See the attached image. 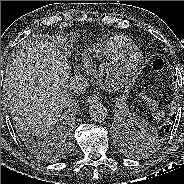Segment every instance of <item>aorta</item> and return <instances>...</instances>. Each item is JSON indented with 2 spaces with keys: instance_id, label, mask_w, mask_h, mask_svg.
Masks as SVG:
<instances>
[{
  "instance_id": "obj_1",
  "label": "aorta",
  "mask_w": 184,
  "mask_h": 184,
  "mask_svg": "<svg viewBox=\"0 0 184 184\" xmlns=\"http://www.w3.org/2000/svg\"><path fill=\"white\" fill-rule=\"evenodd\" d=\"M90 118L96 122H102L107 117V108L101 103H94L89 109Z\"/></svg>"
}]
</instances>
